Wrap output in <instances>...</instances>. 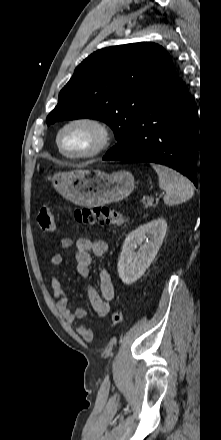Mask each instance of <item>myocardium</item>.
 <instances>
[{
    "instance_id": "obj_1",
    "label": "myocardium",
    "mask_w": 221,
    "mask_h": 440,
    "mask_svg": "<svg viewBox=\"0 0 221 440\" xmlns=\"http://www.w3.org/2000/svg\"><path fill=\"white\" fill-rule=\"evenodd\" d=\"M85 126L96 134V143L89 150L80 153L66 152L61 146L63 133L73 126ZM112 134L108 125L101 119L93 116H78L65 122L56 133V146L59 153L70 160H85L102 154L110 145Z\"/></svg>"
}]
</instances>
